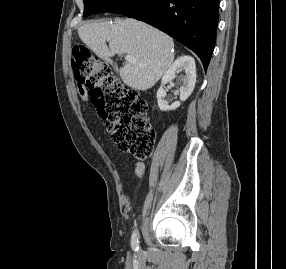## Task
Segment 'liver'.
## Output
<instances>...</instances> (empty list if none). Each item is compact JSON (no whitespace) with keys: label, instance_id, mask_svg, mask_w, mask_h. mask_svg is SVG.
<instances>
[{"label":"liver","instance_id":"1","mask_svg":"<svg viewBox=\"0 0 286 269\" xmlns=\"http://www.w3.org/2000/svg\"><path fill=\"white\" fill-rule=\"evenodd\" d=\"M80 39L100 58L127 54L136 63H126L116 71L122 81L136 90L155 85L174 60L173 39L158 29L135 19H117L114 24L92 21L78 28ZM109 41V47L106 45Z\"/></svg>","mask_w":286,"mask_h":269}]
</instances>
